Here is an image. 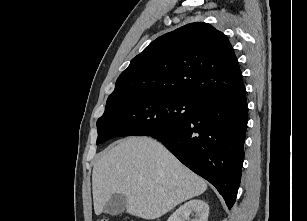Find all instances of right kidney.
<instances>
[{"label":"right kidney","mask_w":307,"mask_h":221,"mask_svg":"<svg viewBox=\"0 0 307 221\" xmlns=\"http://www.w3.org/2000/svg\"><path fill=\"white\" fill-rule=\"evenodd\" d=\"M192 214L193 218L190 219ZM209 206L206 202L198 199L190 200L180 206L167 221H207Z\"/></svg>","instance_id":"obj_1"}]
</instances>
